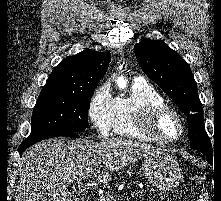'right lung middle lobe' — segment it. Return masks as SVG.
Segmentation results:
<instances>
[{"instance_id":"dd1d6c3e","label":"right lung middle lobe","mask_w":221,"mask_h":201,"mask_svg":"<svg viewBox=\"0 0 221 201\" xmlns=\"http://www.w3.org/2000/svg\"><path fill=\"white\" fill-rule=\"evenodd\" d=\"M94 91L70 93L42 90L34 107L31 136L47 131L84 132Z\"/></svg>"}]
</instances>
